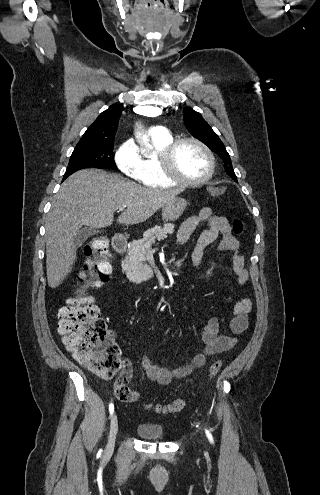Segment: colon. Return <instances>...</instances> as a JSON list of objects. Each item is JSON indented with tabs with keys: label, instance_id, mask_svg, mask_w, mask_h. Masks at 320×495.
Returning a JSON list of instances; mask_svg holds the SVG:
<instances>
[{
	"label": "colon",
	"instance_id": "5ec220e1",
	"mask_svg": "<svg viewBox=\"0 0 320 495\" xmlns=\"http://www.w3.org/2000/svg\"><path fill=\"white\" fill-rule=\"evenodd\" d=\"M212 194L221 197L224 189L215 188ZM243 228L244 224L241 220L233 221V229L236 233H241ZM84 251L88 260L86 271L81 273L80 280L85 285L100 287L107 282L111 274L107 241L103 237H97L85 246ZM58 317V332L65 347L74 357L102 378L109 379L115 376L121 368L119 348L108 339L106 323L93 299L78 293L70 298L67 306L59 310ZM221 366L219 360L215 361L209 368V376L215 377ZM128 382L126 375L122 373L118 375L114 384L115 396L123 402H136L140 395L128 387ZM185 405V400L178 398L167 405L147 404L146 408L166 414L180 412Z\"/></svg>",
	"mask_w": 320,
	"mask_h": 495
}]
</instances>
